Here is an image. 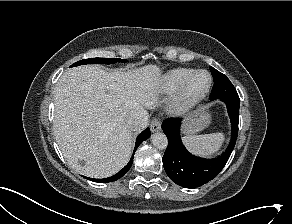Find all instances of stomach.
Masks as SVG:
<instances>
[{
	"label": "stomach",
	"mask_w": 292,
	"mask_h": 224,
	"mask_svg": "<svg viewBox=\"0 0 292 224\" xmlns=\"http://www.w3.org/2000/svg\"><path fill=\"white\" fill-rule=\"evenodd\" d=\"M211 123V112L208 106H201L186 117L183 126L185 134H195L209 126Z\"/></svg>",
	"instance_id": "stomach-1"
}]
</instances>
